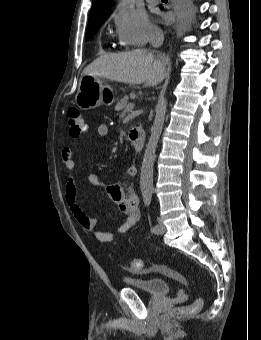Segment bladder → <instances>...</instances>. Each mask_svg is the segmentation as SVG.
<instances>
[{"mask_svg": "<svg viewBox=\"0 0 261 340\" xmlns=\"http://www.w3.org/2000/svg\"><path fill=\"white\" fill-rule=\"evenodd\" d=\"M123 283L130 288L143 292L152 297L166 296L170 290V283L162 277L132 278L124 277Z\"/></svg>", "mask_w": 261, "mask_h": 340, "instance_id": "1", "label": "bladder"}]
</instances>
